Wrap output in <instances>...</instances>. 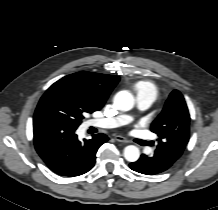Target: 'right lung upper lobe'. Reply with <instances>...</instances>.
Wrapping results in <instances>:
<instances>
[{
  "instance_id": "right-lung-upper-lobe-1",
  "label": "right lung upper lobe",
  "mask_w": 218,
  "mask_h": 210,
  "mask_svg": "<svg viewBox=\"0 0 218 210\" xmlns=\"http://www.w3.org/2000/svg\"><path fill=\"white\" fill-rule=\"evenodd\" d=\"M118 81V76L81 71L65 76L54 84L77 95L98 111Z\"/></svg>"
}]
</instances>
